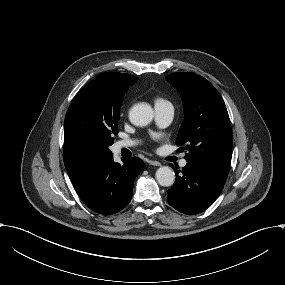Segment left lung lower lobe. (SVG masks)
I'll list each match as a JSON object with an SVG mask.
<instances>
[{
  "label": "left lung lower lobe",
  "mask_w": 285,
  "mask_h": 285,
  "mask_svg": "<svg viewBox=\"0 0 285 285\" xmlns=\"http://www.w3.org/2000/svg\"><path fill=\"white\" fill-rule=\"evenodd\" d=\"M175 173L176 180L168 190L167 200L179 212L190 215L204 211L217 199L227 175L225 171L192 162L182 168L181 176L179 170Z\"/></svg>",
  "instance_id": "0a47b994"
}]
</instances>
